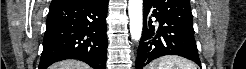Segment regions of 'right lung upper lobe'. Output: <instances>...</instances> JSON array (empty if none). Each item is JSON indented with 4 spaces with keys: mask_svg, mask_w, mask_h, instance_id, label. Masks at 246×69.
<instances>
[{
    "mask_svg": "<svg viewBox=\"0 0 246 69\" xmlns=\"http://www.w3.org/2000/svg\"><path fill=\"white\" fill-rule=\"evenodd\" d=\"M98 0H52L51 5H57V4H70V3H92L96 2Z\"/></svg>",
    "mask_w": 246,
    "mask_h": 69,
    "instance_id": "obj_1",
    "label": "right lung upper lobe"
}]
</instances>
